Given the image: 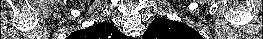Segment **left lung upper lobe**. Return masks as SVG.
I'll use <instances>...</instances> for the list:
<instances>
[{"label": "left lung upper lobe", "instance_id": "1", "mask_svg": "<svg viewBox=\"0 0 263 39\" xmlns=\"http://www.w3.org/2000/svg\"><path fill=\"white\" fill-rule=\"evenodd\" d=\"M144 39H203L191 27L169 19H155L143 35Z\"/></svg>", "mask_w": 263, "mask_h": 39}]
</instances>
